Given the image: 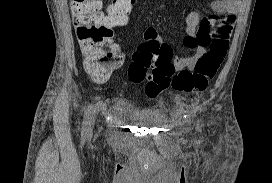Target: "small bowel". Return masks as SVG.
Returning a JSON list of instances; mask_svg holds the SVG:
<instances>
[{"instance_id": "c3829d8e", "label": "small bowel", "mask_w": 272, "mask_h": 183, "mask_svg": "<svg viewBox=\"0 0 272 183\" xmlns=\"http://www.w3.org/2000/svg\"><path fill=\"white\" fill-rule=\"evenodd\" d=\"M240 8V0H213L211 10L214 15L203 17L198 11L189 12L185 17V35L182 41L186 47L193 50V54L177 58L174 61L176 70L181 71L192 68L206 52V47L212 37L228 36L234 27L235 18ZM143 40L144 42H161L154 27H148L144 31ZM117 47L119 48V46ZM109 75L105 78L94 79L97 82H104Z\"/></svg>"}]
</instances>
